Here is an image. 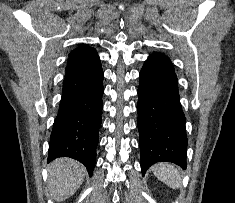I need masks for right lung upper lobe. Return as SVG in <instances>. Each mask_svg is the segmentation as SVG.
I'll return each instance as SVG.
<instances>
[{"instance_id": "obj_1", "label": "right lung upper lobe", "mask_w": 235, "mask_h": 203, "mask_svg": "<svg viewBox=\"0 0 235 203\" xmlns=\"http://www.w3.org/2000/svg\"><path fill=\"white\" fill-rule=\"evenodd\" d=\"M95 49L89 46H79L69 53L66 73L72 72L97 57Z\"/></svg>"}]
</instances>
